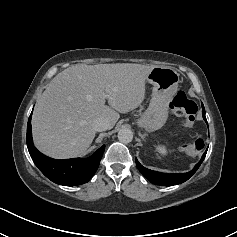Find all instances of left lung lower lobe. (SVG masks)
I'll list each match as a JSON object with an SVG mask.
<instances>
[{"label":"left lung lower lobe","mask_w":237,"mask_h":237,"mask_svg":"<svg viewBox=\"0 0 237 237\" xmlns=\"http://www.w3.org/2000/svg\"><path fill=\"white\" fill-rule=\"evenodd\" d=\"M202 113H203V119L207 122L205 117V109L202 104ZM208 150V148H207ZM207 150L204 152V154L201 157V160L195 165L192 171L187 173H173V174H166L161 172H156L153 170H149L145 167H143L138 160L136 159V165L139 171L153 184L156 185H164V186H172L176 184H180L188 180L200 167L201 163L203 162Z\"/></svg>","instance_id":"left-lung-lower-lobe-1"}]
</instances>
